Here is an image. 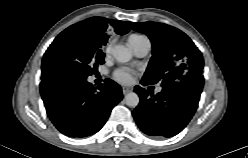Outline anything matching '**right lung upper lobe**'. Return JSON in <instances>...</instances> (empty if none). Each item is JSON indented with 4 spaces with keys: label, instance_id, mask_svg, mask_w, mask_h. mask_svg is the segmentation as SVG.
Listing matches in <instances>:
<instances>
[{
    "label": "right lung upper lobe",
    "instance_id": "1",
    "mask_svg": "<svg viewBox=\"0 0 248 158\" xmlns=\"http://www.w3.org/2000/svg\"><path fill=\"white\" fill-rule=\"evenodd\" d=\"M110 27H113L116 33L121 35L129 31L124 22L108 20L103 17L88 18L68 27L67 30L76 32L84 41L92 45L102 47L108 40L107 29Z\"/></svg>",
    "mask_w": 248,
    "mask_h": 158
}]
</instances>
